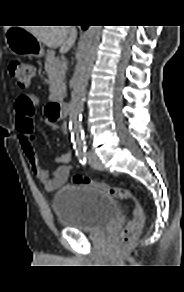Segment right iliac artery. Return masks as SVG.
I'll list each match as a JSON object with an SVG mask.
<instances>
[{
    "mask_svg": "<svg viewBox=\"0 0 184 292\" xmlns=\"http://www.w3.org/2000/svg\"><path fill=\"white\" fill-rule=\"evenodd\" d=\"M76 156L78 157L79 162L82 165H85L87 163L86 147L77 148L76 149Z\"/></svg>",
    "mask_w": 184,
    "mask_h": 292,
    "instance_id": "right-iliac-artery-1",
    "label": "right iliac artery"
}]
</instances>
